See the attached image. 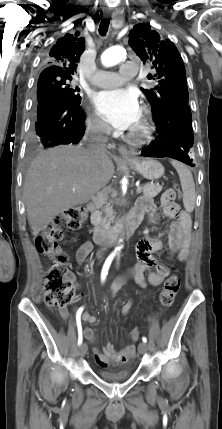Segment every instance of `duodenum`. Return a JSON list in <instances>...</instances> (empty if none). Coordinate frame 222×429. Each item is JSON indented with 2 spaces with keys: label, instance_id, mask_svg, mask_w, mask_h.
<instances>
[{
  "label": "duodenum",
  "instance_id": "obj_1",
  "mask_svg": "<svg viewBox=\"0 0 222 429\" xmlns=\"http://www.w3.org/2000/svg\"><path fill=\"white\" fill-rule=\"evenodd\" d=\"M87 209L92 214L93 239L98 245H112L117 242L121 234L129 236L139 226L143 217V213L141 211L132 210V212L125 218L121 229L114 232H105L99 226L97 205L94 202H91L87 205Z\"/></svg>",
  "mask_w": 222,
  "mask_h": 429
}]
</instances>
